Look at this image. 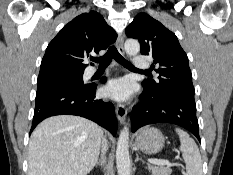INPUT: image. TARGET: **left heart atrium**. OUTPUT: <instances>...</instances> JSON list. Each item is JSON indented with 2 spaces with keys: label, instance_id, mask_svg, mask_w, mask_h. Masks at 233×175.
I'll return each mask as SVG.
<instances>
[{
  "label": "left heart atrium",
  "instance_id": "obj_1",
  "mask_svg": "<svg viewBox=\"0 0 233 175\" xmlns=\"http://www.w3.org/2000/svg\"><path fill=\"white\" fill-rule=\"evenodd\" d=\"M105 94L118 101H125L132 94V83L126 78L110 81L105 87Z\"/></svg>",
  "mask_w": 233,
  "mask_h": 175
}]
</instances>
